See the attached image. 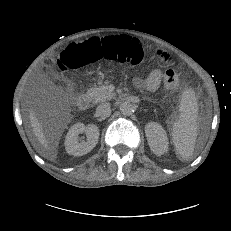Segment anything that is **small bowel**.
I'll list each match as a JSON object with an SVG mask.
<instances>
[{"label": "small bowel", "instance_id": "1", "mask_svg": "<svg viewBox=\"0 0 231 231\" xmlns=\"http://www.w3.org/2000/svg\"><path fill=\"white\" fill-rule=\"evenodd\" d=\"M165 60H169L168 55H166ZM162 73L159 69H154L150 72L149 76L143 80L139 81L138 84L149 91H155L160 84Z\"/></svg>", "mask_w": 231, "mask_h": 231}]
</instances>
